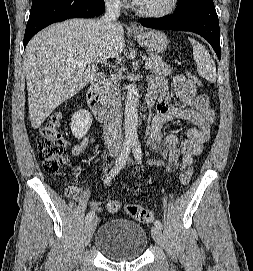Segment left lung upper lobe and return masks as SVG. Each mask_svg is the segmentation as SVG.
Here are the masks:
<instances>
[{"label": "left lung upper lobe", "mask_w": 253, "mask_h": 271, "mask_svg": "<svg viewBox=\"0 0 253 271\" xmlns=\"http://www.w3.org/2000/svg\"><path fill=\"white\" fill-rule=\"evenodd\" d=\"M188 1L190 0H179L178 6L186 7L187 5L185 4V2H188Z\"/></svg>", "instance_id": "1"}]
</instances>
